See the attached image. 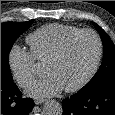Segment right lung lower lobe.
<instances>
[{
    "label": "right lung lower lobe",
    "instance_id": "1",
    "mask_svg": "<svg viewBox=\"0 0 115 115\" xmlns=\"http://www.w3.org/2000/svg\"><path fill=\"white\" fill-rule=\"evenodd\" d=\"M34 107L31 98H22L14 82H1V115H28Z\"/></svg>",
    "mask_w": 115,
    "mask_h": 115
}]
</instances>
